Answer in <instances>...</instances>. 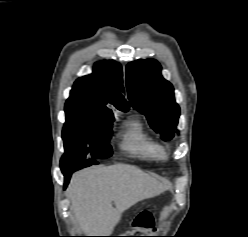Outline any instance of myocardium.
<instances>
[{
    "label": "myocardium",
    "instance_id": "f54148a6",
    "mask_svg": "<svg viewBox=\"0 0 248 237\" xmlns=\"http://www.w3.org/2000/svg\"><path fill=\"white\" fill-rule=\"evenodd\" d=\"M154 154L160 160H165L168 157L166 148L161 144H155Z\"/></svg>",
    "mask_w": 248,
    "mask_h": 237
}]
</instances>
